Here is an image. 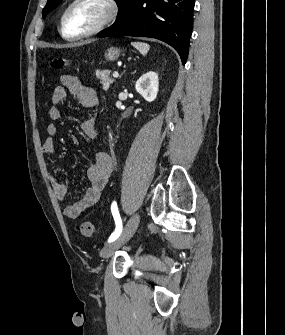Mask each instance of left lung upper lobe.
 <instances>
[{
    "mask_svg": "<svg viewBox=\"0 0 285 335\" xmlns=\"http://www.w3.org/2000/svg\"><path fill=\"white\" fill-rule=\"evenodd\" d=\"M62 0H48L45 8L43 9L42 15L43 18H45V16L53 9L55 8L59 2H61ZM117 3L119 4L122 0H116Z\"/></svg>",
    "mask_w": 285,
    "mask_h": 335,
    "instance_id": "obj_1",
    "label": "left lung upper lobe"
}]
</instances>
